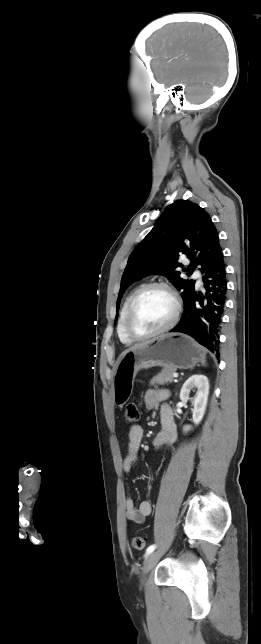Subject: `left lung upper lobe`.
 Instances as JSON below:
<instances>
[{
    "label": "left lung upper lobe",
    "mask_w": 261,
    "mask_h": 644,
    "mask_svg": "<svg viewBox=\"0 0 261 644\" xmlns=\"http://www.w3.org/2000/svg\"><path fill=\"white\" fill-rule=\"evenodd\" d=\"M221 252L218 232L209 214L188 200L176 201L165 209L153 229L129 256L121 279L117 308L131 283L156 273L166 275L182 291L185 306L194 294L195 281L180 277V272L175 270L183 267L177 262L178 258L186 255L191 260L183 271L192 274L197 265L205 272Z\"/></svg>",
    "instance_id": "1"
}]
</instances>
